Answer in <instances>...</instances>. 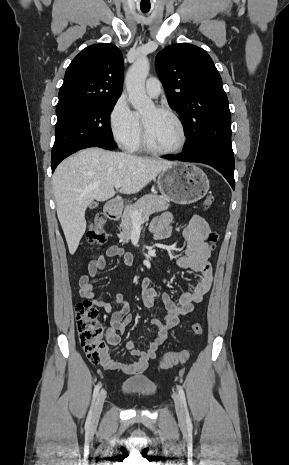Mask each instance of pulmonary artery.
Wrapping results in <instances>:
<instances>
[{
    "instance_id": "pulmonary-artery-1",
    "label": "pulmonary artery",
    "mask_w": 289,
    "mask_h": 465,
    "mask_svg": "<svg viewBox=\"0 0 289 465\" xmlns=\"http://www.w3.org/2000/svg\"><path fill=\"white\" fill-rule=\"evenodd\" d=\"M145 89L150 97L156 98L161 93V82L155 77H151L146 81Z\"/></svg>"
}]
</instances>
